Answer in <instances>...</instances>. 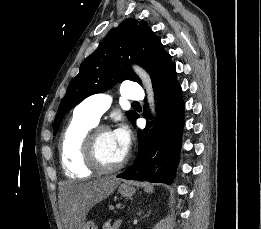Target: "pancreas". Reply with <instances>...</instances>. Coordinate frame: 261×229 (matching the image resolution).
<instances>
[{
    "mask_svg": "<svg viewBox=\"0 0 261 229\" xmlns=\"http://www.w3.org/2000/svg\"><path fill=\"white\" fill-rule=\"evenodd\" d=\"M114 224H115V223H114ZM119 227H120V225H119ZM119 227H118V228H115L114 225H112V227H105V225H104L103 229H119Z\"/></svg>",
    "mask_w": 261,
    "mask_h": 229,
    "instance_id": "1",
    "label": "pancreas"
}]
</instances>
